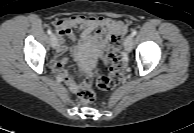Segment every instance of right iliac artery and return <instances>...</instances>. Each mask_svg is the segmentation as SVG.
Segmentation results:
<instances>
[{
	"mask_svg": "<svg viewBox=\"0 0 194 133\" xmlns=\"http://www.w3.org/2000/svg\"><path fill=\"white\" fill-rule=\"evenodd\" d=\"M47 33H48L49 35H52L51 29H48V30H47Z\"/></svg>",
	"mask_w": 194,
	"mask_h": 133,
	"instance_id": "1",
	"label": "right iliac artery"
}]
</instances>
